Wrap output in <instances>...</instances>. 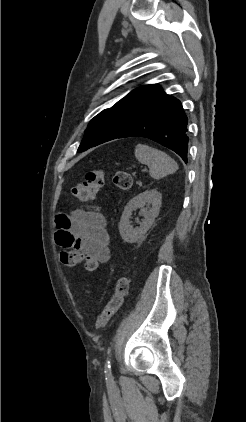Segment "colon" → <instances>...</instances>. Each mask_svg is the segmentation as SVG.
I'll use <instances>...</instances> for the list:
<instances>
[{
    "instance_id": "1",
    "label": "colon",
    "mask_w": 246,
    "mask_h": 422,
    "mask_svg": "<svg viewBox=\"0 0 246 422\" xmlns=\"http://www.w3.org/2000/svg\"><path fill=\"white\" fill-rule=\"evenodd\" d=\"M104 181L105 172L103 170H90L85 174L84 180L73 187L72 192L80 200L93 199L103 187ZM113 182L118 189L126 191L132 186V177L126 171H117L114 175ZM60 260L66 266H75L83 263L84 268L90 272L98 268V262L94 258L85 256L77 250L62 251L60 253ZM127 291L128 281L124 276H120L114 285V290L109 301L103 311L97 316L95 323L97 329L104 328L113 315L121 308Z\"/></svg>"
}]
</instances>
